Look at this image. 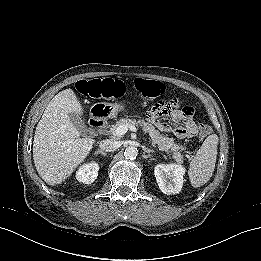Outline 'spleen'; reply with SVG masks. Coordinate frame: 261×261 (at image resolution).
<instances>
[{
  "instance_id": "1",
  "label": "spleen",
  "mask_w": 261,
  "mask_h": 261,
  "mask_svg": "<svg viewBox=\"0 0 261 261\" xmlns=\"http://www.w3.org/2000/svg\"><path fill=\"white\" fill-rule=\"evenodd\" d=\"M206 139L195 156L190 159L188 176L193 187L202 185L212 174L216 162V151Z\"/></svg>"
}]
</instances>
